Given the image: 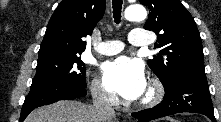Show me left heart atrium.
Listing matches in <instances>:
<instances>
[{"mask_svg":"<svg viewBox=\"0 0 221 122\" xmlns=\"http://www.w3.org/2000/svg\"><path fill=\"white\" fill-rule=\"evenodd\" d=\"M105 87L127 100H136L143 96L147 82L143 65L127 56L107 61L102 66Z\"/></svg>","mask_w":221,"mask_h":122,"instance_id":"left-heart-atrium-1","label":"left heart atrium"}]
</instances>
